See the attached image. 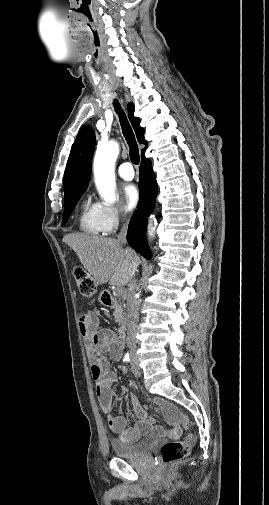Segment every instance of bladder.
Segmentation results:
<instances>
[{"mask_svg":"<svg viewBox=\"0 0 269 505\" xmlns=\"http://www.w3.org/2000/svg\"><path fill=\"white\" fill-rule=\"evenodd\" d=\"M156 443V438L146 436L134 443H125L121 441H112L114 454L119 458L138 460L142 458Z\"/></svg>","mask_w":269,"mask_h":505,"instance_id":"obj_1","label":"bladder"}]
</instances>
